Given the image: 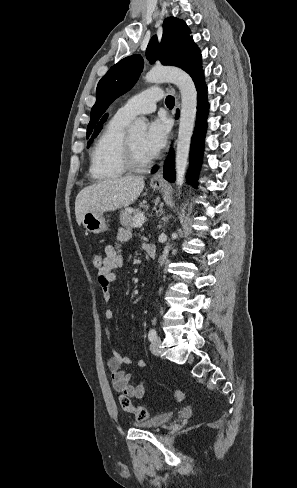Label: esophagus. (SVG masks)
Masks as SVG:
<instances>
[{
	"mask_svg": "<svg viewBox=\"0 0 297 488\" xmlns=\"http://www.w3.org/2000/svg\"><path fill=\"white\" fill-rule=\"evenodd\" d=\"M179 98L176 99L175 107L179 108ZM163 182V163L161 164V167L159 171H157L156 174L153 175L151 178V184H160Z\"/></svg>",
	"mask_w": 297,
	"mask_h": 488,
	"instance_id": "esophagus-1",
	"label": "esophagus"
}]
</instances>
